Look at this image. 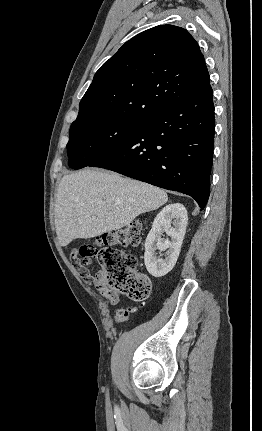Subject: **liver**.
I'll return each instance as SVG.
<instances>
[{"mask_svg": "<svg viewBox=\"0 0 262 431\" xmlns=\"http://www.w3.org/2000/svg\"><path fill=\"white\" fill-rule=\"evenodd\" d=\"M168 201L155 186L109 171L84 169L63 176L55 203V227L61 246L118 230L138 215Z\"/></svg>", "mask_w": 262, "mask_h": 431, "instance_id": "obj_1", "label": "liver"}]
</instances>
